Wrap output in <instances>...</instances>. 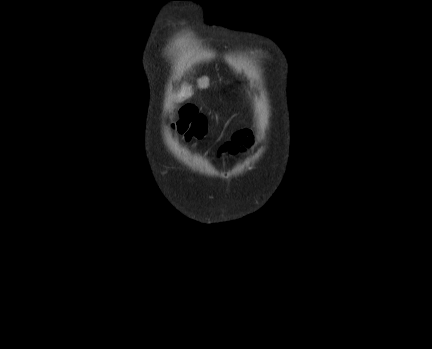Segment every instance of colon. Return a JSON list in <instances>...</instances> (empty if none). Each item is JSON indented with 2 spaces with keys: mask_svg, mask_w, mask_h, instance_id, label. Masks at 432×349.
<instances>
[{
  "mask_svg": "<svg viewBox=\"0 0 432 349\" xmlns=\"http://www.w3.org/2000/svg\"><path fill=\"white\" fill-rule=\"evenodd\" d=\"M179 132L185 134L188 139L201 138L204 136L207 125L206 119L203 115L199 114L197 110L187 105L180 111V119L177 122Z\"/></svg>",
  "mask_w": 432,
  "mask_h": 349,
  "instance_id": "colon-1",
  "label": "colon"
}]
</instances>
